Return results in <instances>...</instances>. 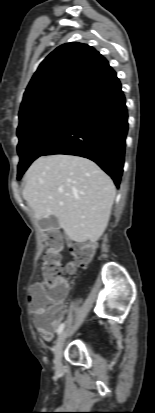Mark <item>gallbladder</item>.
Returning <instances> with one entry per match:
<instances>
[{
  "mask_svg": "<svg viewBox=\"0 0 155 413\" xmlns=\"http://www.w3.org/2000/svg\"><path fill=\"white\" fill-rule=\"evenodd\" d=\"M40 226L46 230H50L58 226V221L57 220H50V221L41 220Z\"/></svg>",
  "mask_w": 155,
  "mask_h": 413,
  "instance_id": "bac80fb5",
  "label": "gallbladder"
}]
</instances>
